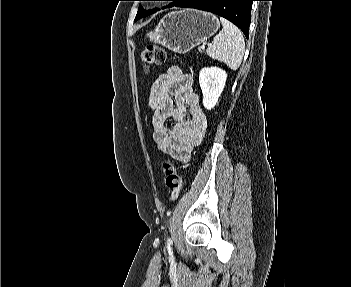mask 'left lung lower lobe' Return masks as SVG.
I'll list each match as a JSON object with an SVG mask.
<instances>
[{
	"mask_svg": "<svg viewBox=\"0 0 351 287\" xmlns=\"http://www.w3.org/2000/svg\"><path fill=\"white\" fill-rule=\"evenodd\" d=\"M253 1L256 0H180L174 6L217 14L234 23L248 37Z\"/></svg>",
	"mask_w": 351,
	"mask_h": 287,
	"instance_id": "left-lung-lower-lobe-1",
	"label": "left lung lower lobe"
}]
</instances>
